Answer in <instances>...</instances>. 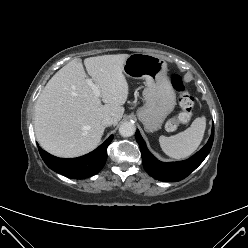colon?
Returning a JSON list of instances; mask_svg holds the SVG:
<instances>
[{"instance_id":"colon-1","label":"colon","mask_w":248,"mask_h":248,"mask_svg":"<svg viewBox=\"0 0 248 248\" xmlns=\"http://www.w3.org/2000/svg\"><path fill=\"white\" fill-rule=\"evenodd\" d=\"M171 82L173 87L179 93L178 102L182 112L175 115L167 122L166 127L170 131L177 129L180 125L186 123L189 120L194 107V98L189 92V89L184 83L181 75L177 73L173 74Z\"/></svg>"}]
</instances>
